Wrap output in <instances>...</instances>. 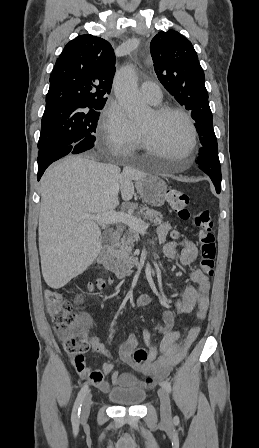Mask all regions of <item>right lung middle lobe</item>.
Returning <instances> with one entry per match:
<instances>
[{
  "instance_id": "dd1d6c3e",
  "label": "right lung middle lobe",
  "mask_w": 259,
  "mask_h": 448,
  "mask_svg": "<svg viewBox=\"0 0 259 448\" xmlns=\"http://www.w3.org/2000/svg\"><path fill=\"white\" fill-rule=\"evenodd\" d=\"M103 107L98 105L66 114H44L38 149L72 145L73 154H78L93 148L99 111Z\"/></svg>"
}]
</instances>
